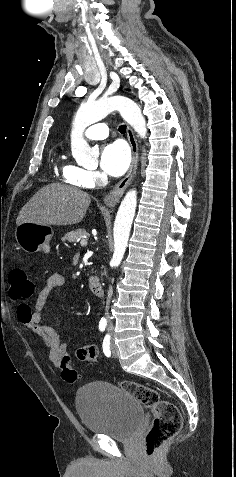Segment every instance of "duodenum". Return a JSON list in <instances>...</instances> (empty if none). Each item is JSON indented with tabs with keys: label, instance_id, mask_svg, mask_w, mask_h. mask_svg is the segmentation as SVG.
<instances>
[{
	"label": "duodenum",
	"instance_id": "1",
	"mask_svg": "<svg viewBox=\"0 0 236 477\" xmlns=\"http://www.w3.org/2000/svg\"><path fill=\"white\" fill-rule=\"evenodd\" d=\"M88 286H89L90 291L93 294L98 295V296L103 295L104 290H103L102 282H101L99 277H97V276L89 277Z\"/></svg>",
	"mask_w": 236,
	"mask_h": 477
}]
</instances>
